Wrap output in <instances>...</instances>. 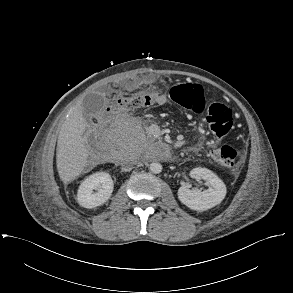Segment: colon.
<instances>
[{"label": "colon", "instance_id": "5ec220e1", "mask_svg": "<svg viewBox=\"0 0 293 293\" xmlns=\"http://www.w3.org/2000/svg\"><path fill=\"white\" fill-rule=\"evenodd\" d=\"M171 100L194 113L205 110L204 91L201 85L183 83L172 88ZM155 98L150 93H136L123 97L111 106L113 112H128L151 106ZM206 122L215 137L225 136L233 125L231 109L223 103H211L207 108ZM209 154L220 165L228 169L237 168V152L230 146L211 145Z\"/></svg>", "mask_w": 293, "mask_h": 293}]
</instances>
